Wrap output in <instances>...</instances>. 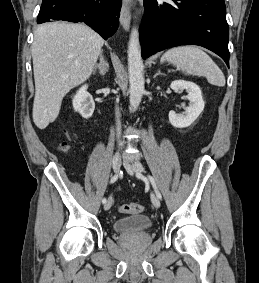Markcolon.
Listing matches in <instances>:
<instances>
[{
    "label": "colon",
    "instance_id": "5ec220e1",
    "mask_svg": "<svg viewBox=\"0 0 259 283\" xmlns=\"http://www.w3.org/2000/svg\"><path fill=\"white\" fill-rule=\"evenodd\" d=\"M61 149L62 150H68L69 149V144L67 142H63L61 144ZM119 212L121 213H141L143 211V206L139 203H129V204H122L118 208Z\"/></svg>",
    "mask_w": 259,
    "mask_h": 283
}]
</instances>
